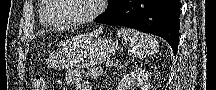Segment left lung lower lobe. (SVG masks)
Here are the masks:
<instances>
[{
  "mask_svg": "<svg viewBox=\"0 0 216 90\" xmlns=\"http://www.w3.org/2000/svg\"><path fill=\"white\" fill-rule=\"evenodd\" d=\"M180 0H120L94 21L135 28L165 39L176 54Z\"/></svg>",
  "mask_w": 216,
  "mask_h": 90,
  "instance_id": "obj_1",
  "label": "left lung lower lobe"
}]
</instances>
